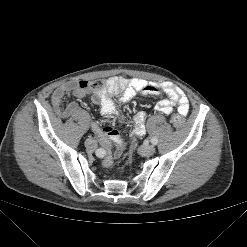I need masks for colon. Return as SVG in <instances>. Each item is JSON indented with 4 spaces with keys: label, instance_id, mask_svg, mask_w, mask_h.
<instances>
[{
    "label": "colon",
    "instance_id": "colon-1",
    "mask_svg": "<svg viewBox=\"0 0 247 247\" xmlns=\"http://www.w3.org/2000/svg\"><path fill=\"white\" fill-rule=\"evenodd\" d=\"M88 88L94 91H100L103 87V82L100 79L87 82ZM171 122L175 128H181L184 125V118L180 114H174L171 118ZM113 129L108 127L104 130L105 134L110 135Z\"/></svg>",
    "mask_w": 247,
    "mask_h": 247
}]
</instances>
